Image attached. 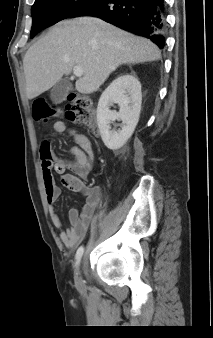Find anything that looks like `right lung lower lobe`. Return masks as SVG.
<instances>
[{
  "label": "right lung lower lobe",
  "instance_id": "right-lung-lower-lobe-1",
  "mask_svg": "<svg viewBox=\"0 0 213 338\" xmlns=\"http://www.w3.org/2000/svg\"><path fill=\"white\" fill-rule=\"evenodd\" d=\"M94 16L119 28L149 38L158 47L165 43L164 0H94L70 17Z\"/></svg>",
  "mask_w": 213,
  "mask_h": 338
}]
</instances>
